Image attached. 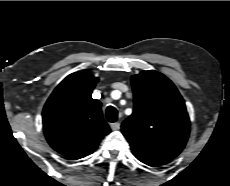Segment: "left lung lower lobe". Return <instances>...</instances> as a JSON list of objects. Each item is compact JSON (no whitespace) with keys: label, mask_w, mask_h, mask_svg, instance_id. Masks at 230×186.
Returning a JSON list of instances; mask_svg holds the SVG:
<instances>
[{"label":"left lung lower lobe","mask_w":230,"mask_h":186,"mask_svg":"<svg viewBox=\"0 0 230 186\" xmlns=\"http://www.w3.org/2000/svg\"><path fill=\"white\" fill-rule=\"evenodd\" d=\"M148 165V164H147ZM149 166H157V165H149Z\"/></svg>","instance_id":"1"}]
</instances>
